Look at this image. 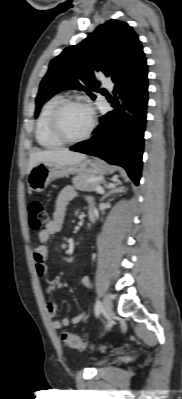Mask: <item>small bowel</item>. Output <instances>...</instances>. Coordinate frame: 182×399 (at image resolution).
I'll use <instances>...</instances> for the list:
<instances>
[{
	"mask_svg": "<svg viewBox=\"0 0 182 399\" xmlns=\"http://www.w3.org/2000/svg\"><path fill=\"white\" fill-rule=\"evenodd\" d=\"M76 196L77 190L74 187L67 186L62 189L54 201L51 219L49 220L46 228L40 231L37 235L39 244L34 249V261L36 272L39 277H45L48 274V242L52 236L56 235L62 230L67 207ZM90 209H94L92 203H90ZM81 282L86 288L90 287V280L88 277H83ZM47 311L49 316L52 318V327L54 329H62L64 327L77 324L86 317V310L83 309L80 313L73 317H65L62 320H57L55 319L57 315V305L53 301H49L47 303Z\"/></svg>",
	"mask_w": 182,
	"mask_h": 399,
	"instance_id": "c3829d8e",
	"label": "small bowel"
}]
</instances>
